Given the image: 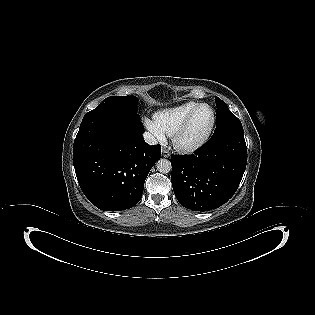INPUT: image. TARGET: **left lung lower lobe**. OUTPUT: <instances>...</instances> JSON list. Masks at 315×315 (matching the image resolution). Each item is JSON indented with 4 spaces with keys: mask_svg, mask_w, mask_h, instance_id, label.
<instances>
[{
    "mask_svg": "<svg viewBox=\"0 0 315 315\" xmlns=\"http://www.w3.org/2000/svg\"><path fill=\"white\" fill-rule=\"evenodd\" d=\"M247 163L244 134L211 137L192 155H172L171 181L179 203L188 209L218 208L236 192Z\"/></svg>",
    "mask_w": 315,
    "mask_h": 315,
    "instance_id": "obj_1",
    "label": "left lung lower lobe"
}]
</instances>
